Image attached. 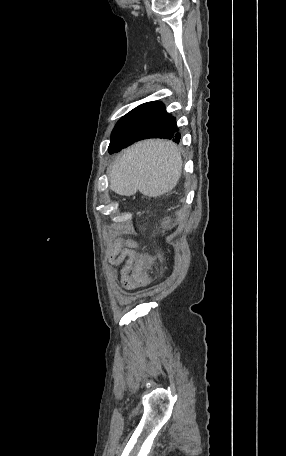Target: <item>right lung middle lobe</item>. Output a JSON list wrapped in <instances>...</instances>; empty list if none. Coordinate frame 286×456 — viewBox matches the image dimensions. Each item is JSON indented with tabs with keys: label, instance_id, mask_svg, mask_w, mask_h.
<instances>
[{
	"label": "right lung middle lobe",
	"instance_id": "1",
	"mask_svg": "<svg viewBox=\"0 0 286 456\" xmlns=\"http://www.w3.org/2000/svg\"><path fill=\"white\" fill-rule=\"evenodd\" d=\"M126 138V133L124 129V124L122 119L116 124L111 137V142L109 145V153L119 146V144Z\"/></svg>",
	"mask_w": 286,
	"mask_h": 456
}]
</instances>
